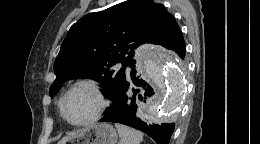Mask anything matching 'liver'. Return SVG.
Instances as JSON below:
<instances>
[{"instance_id":"6515ba94","label":"liver","mask_w":260,"mask_h":144,"mask_svg":"<svg viewBox=\"0 0 260 144\" xmlns=\"http://www.w3.org/2000/svg\"><path fill=\"white\" fill-rule=\"evenodd\" d=\"M69 140V137L66 136V137H63L59 142L58 144H66V142Z\"/></svg>"}]
</instances>
